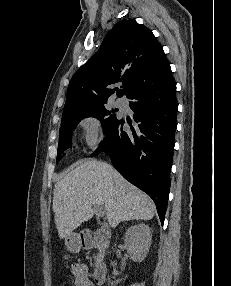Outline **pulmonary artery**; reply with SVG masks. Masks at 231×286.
<instances>
[{"mask_svg": "<svg viewBox=\"0 0 231 286\" xmlns=\"http://www.w3.org/2000/svg\"><path fill=\"white\" fill-rule=\"evenodd\" d=\"M114 103H115V105H116L117 107H122V106H124V101H123V99H121V98H117V99L114 101Z\"/></svg>", "mask_w": 231, "mask_h": 286, "instance_id": "1", "label": "pulmonary artery"}]
</instances>
